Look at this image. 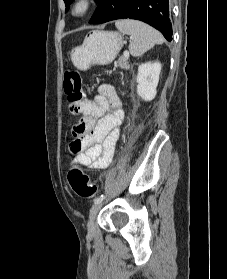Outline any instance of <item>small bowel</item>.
<instances>
[{
	"label": "small bowel",
	"mask_w": 227,
	"mask_h": 279,
	"mask_svg": "<svg viewBox=\"0 0 227 279\" xmlns=\"http://www.w3.org/2000/svg\"><path fill=\"white\" fill-rule=\"evenodd\" d=\"M76 111L82 118L72 129V146H79L73 162L90 169L108 167L124 119L118 93L113 86L102 85L98 95L93 100H82Z\"/></svg>",
	"instance_id": "1"
}]
</instances>
